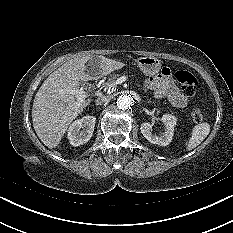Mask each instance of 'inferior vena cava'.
Masks as SVG:
<instances>
[{"instance_id":"inferior-vena-cava-1","label":"inferior vena cava","mask_w":233,"mask_h":233,"mask_svg":"<svg viewBox=\"0 0 233 233\" xmlns=\"http://www.w3.org/2000/svg\"><path fill=\"white\" fill-rule=\"evenodd\" d=\"M109 100H110V98L108 96H100L95 100V102L97 105H101L105 102H108Z\"/></svg>"}]
</instances>
